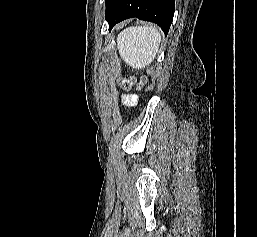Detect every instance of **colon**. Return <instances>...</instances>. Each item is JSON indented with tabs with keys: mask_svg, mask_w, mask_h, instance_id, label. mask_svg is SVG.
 <instances>
[{
	"mask_svg": "<svg viewBox=\"0 0 257 237\" xmlns=\"http://www.w3.org/2000/svg\"><path fill=\"white\" fill-rule=\"evenodd\" d=\"M145 82V78H141L140 80H137L135 78H129L122 81V86L124 89H130L133 86H139L142 85Z\"/></svg>",
	"mask_w": 257,
	"mask_h": 237,
	"instance_id": "obj_1",
	"label": "colon"
}]
</instances>
